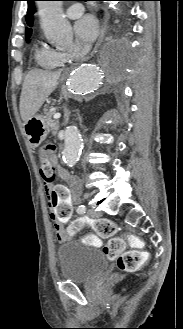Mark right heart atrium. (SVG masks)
<instances>
[{"label":"right heart atrium","instance_id":"d8ad5b80","mask_svg":"<svg viewBox=\"0 0 183 329\" xmlns=\"http://www.w3.org/2000/svg\"><path fill=\"white\" fill-rule=\"evenodd\" d=\"M82 52V50H77L75 52H72V53H63V57L64 59H71L73 57H76L78 55H80Z\"/></svg>","mask_w":183,"mask_h":329}]
</instances>
